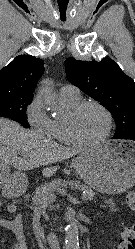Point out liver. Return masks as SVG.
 Instances as JSON below:
<instances>
[{"label": "liver", "instance_id": "6515ba94", "mask_svg": "<svg viewBox=\"0 0 135 249\" xmlns=\"http://www.w3.org/2000/svg\"><path fill=\"white\" fill-rule=\"evenodd\" d=\"M82 153L80 149L66 148L30 132L18 123L0 118V161L19 171L47 166ZM57 167L43 169L45 176L53 175Z\"/></svg>", "mask_w": 135, "mask_h": 249}]
</instances>
